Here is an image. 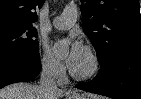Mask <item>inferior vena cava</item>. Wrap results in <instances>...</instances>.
I'll return each mask as SVG.
<instances>
[{
	"mask_svg": "<svg viewBox=\"0 0 141 99\" xmlns=\"http://www.w3.org/2000/svg\"><path fill=\"white\" fill-rule=\"evenodd\" d=\"M57 66L54 64H44L40 76V87L44 90H57L56 83Z\"/></svg>",
	"mask_w": 141,
	"mask_h": 99,
	"instance_id": "602c4592",
	"label": "inferior vena cava"
}]
</instances>
